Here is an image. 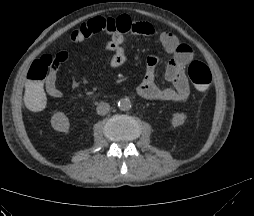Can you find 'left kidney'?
Here are the masks:
<instances>
[{
  "label": "left kidney",
  "mask_w": 254,
  "mask_h": 216,
  "mask_svg": "<svg viewBox=\"0 0 254 216\" xmlns=\"http://www.w3.org/2000/svg\"><path fill=\"white\" fill-rule=\"evenodd\" d=\"M187 119V114L186 113H174L171 124L174 127L183 125Z\"/></svg>",
  "instance_id": "1"
}]
</instances>
